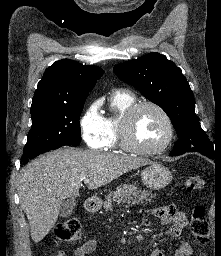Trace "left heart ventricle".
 Returning a JSON list of instances; mask_svg holds the SVG:
<instances>
[{
  "instance_id": "1",
  "label": "left heart ventricle",
  "mask_w": 221,
  "mask_h": 256,
  "mask_svg": "<svg viewBox=\"0 0 221 256\" xmlns=\"http://www.w3.org/2000/svg\"><path fill=\"white\" fill-rule=\"evenodd\" d=\"M167 132L163 117L153 108H143L136 116L133 136L137 144L154 148L162 143Z\"/></svg>"
}]
</instances>
